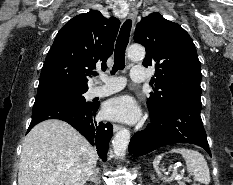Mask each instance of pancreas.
<instances>
[{
    "instance_id": "obj_1",
    "label": "pancreas",
    "mask_w": 233,
    "mask_h": 185,
    "mask_svg": "<svg viewBox=\"0 0 233 185\" xmlns=\"http://www.w3.org/2000/svg\"><path fill=\"white\" fill-rule=\"evenodd\" d=\"M178 185H186L184 181H178Z\"/></svg>"
}]
</instances>
